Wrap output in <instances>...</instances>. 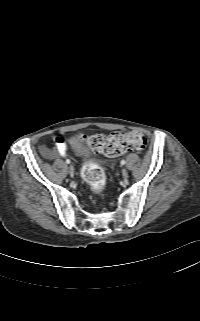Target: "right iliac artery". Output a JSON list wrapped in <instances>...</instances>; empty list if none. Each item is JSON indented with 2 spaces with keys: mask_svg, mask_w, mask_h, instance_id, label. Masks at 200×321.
<instances>
[{
  "mask_svg": "<svg viewBox=\"0 0 200 321\" xmlns=\"http://www.w3.org/2000/svg\"><path fill=\"white\" fill-rule=\"evenodd\" d=\"M66 163L69 164V163H70V160L67 159V160H66Z\"/></svg>",
  "mask_w": 200,
  "mask_h": 321,
  "instance_id": "82829eb1",
  "label": "right iliac artery"
}]
</instances>
